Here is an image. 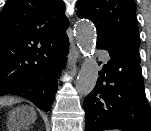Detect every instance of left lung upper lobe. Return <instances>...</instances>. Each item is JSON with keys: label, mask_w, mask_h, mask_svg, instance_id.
Wrapping results in <instances>:
<instances>
[{"label": "left lung upper lobe", "mask_w": 151, "mask_h": 131, "mask_svg": "<svg viewBox=\"0 0 151 131\" xmlns=\"http://www.w3.org/2000/svg\"><path fill=\"white\" fill-rule=\"evenodd\" d=\"M77 8L78 17L88 18L95 24L97 44L129 63H140L139 28L133 0H78Z\"/></svg>", "instance_id": "5c2ea615"}]
</instances>
